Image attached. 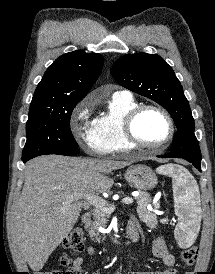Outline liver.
<instances>
[{"instance_id": "obj_1", "label": "liver", "mask_w": 215, "mask_h": 274, "mask_svg": "<svg viewBox=\"0 0 215 274\" xmlns=\"http://www.w3.org/2000/svg\"><path fill=\"white\" fill-rule=\"evenodd\" d=\"M130 162L96 158L41 156L25 167V182L13 223L17 250L29 267L40 271L67 237L85 206L73 193L97 195L113 186L107 176Z\"/></svg>"}]
</instances>
